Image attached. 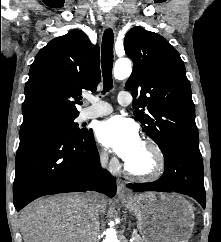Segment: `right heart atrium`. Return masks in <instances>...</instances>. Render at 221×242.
Returning a JSON list of instances; mask_svg holds the SVG:
<instances>
[{
  "mask_svg": "<svg viewBox=\"0 0 221 242\" xmlns=\"http://www.w3.org/2000/svg\"><path fill=\"white\" fill-rule=\"evenodd\" d=\"M97 160L101 168L114 170L117 167V161L113 158H110L104 150H100L98 152Z\"/></svg>",
  "mask_w": 221,
  "mask_h": 242,
  "instance_id": "1",
  "label": "right heart atrium"
}]
</instances>
